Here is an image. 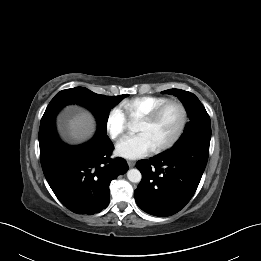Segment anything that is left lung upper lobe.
I'll list each match as a JSON object with an SVG mask.
<instances>
[{
	"instance_id": "1",
	"label": "left lung upper lobe",
	"mask_w": 261,
	"mask_h": 261,
	"mask_svg": "<svg viewBox=\"0 0 261 261\" xmlns=\"http://www.w3.org/2000/svg\"><path fill=\"white\" fill-rule=\"evenodd\" d=\"M162 93L177 96L182 101L190 118V121L186 124V129L175 145L190 140H205L210 142V117L197 96L180 89H169Z\"/></svg>"
}]
</instances>
